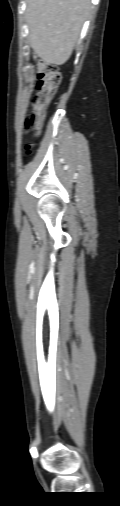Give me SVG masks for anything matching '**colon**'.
Segmentation results:
<instances>
[{
  "mask_svg": "<svg viewBox=\"0 0 120 506\" xmlns=\"http://www.w3.org/2000/svg\"><path fill=\"white\" fill-rule=\"evenodd\" d=\"M37 76V92L30 103L29 113L25 121L26 130L35 135H38L42 128L45 110L61 80L60 73L53 67L47 65L39 66ZM32 149V145L26 146L27 155L32 154Z\"/></svg>",
  "mask_w": 120,
  "mask_h": 506,
  "instance_id": "colon-1",
  "label": "colon"
}]
</instances>
